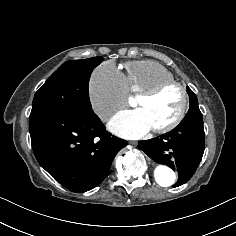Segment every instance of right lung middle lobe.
Instances as JSON below:
<instances>
[{"label": "right lung middle lobe", "instance_id": "right-lung-middle-lobe-1", "mask_svg": "<svg viewBox=\"0 0 236 236\" xmlns=\"http://www.w3.org/2000/svg\"><path fill=\"white\" fill-rule=\"evenodd\" d=\"M102 60L93 57L62 64L36 92L29 120L65 110L90 111L89 79Z\"/></svg>", "mask_w": 236, "mask_h": 236}]
</instances>
